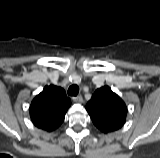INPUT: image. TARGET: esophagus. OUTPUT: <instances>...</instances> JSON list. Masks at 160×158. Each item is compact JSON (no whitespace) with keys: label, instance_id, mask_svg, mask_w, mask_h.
<instances>
[{"label":"esophagus","instance_id":"esophagus-1","mask_svg":"<svg viewBox=\"0 0 160 158\" xmlns=\"http://www.w3.org/2000/svg\"><path fill=\"white\" fill-rule=\"evenodd\" d=\"M73 101L76 103H82L83 102V97L81 95H78L76 97H73Z\"/></svg>","mask_w":160,"mask_h":158}]
</instances>
